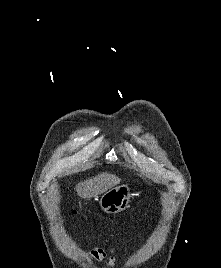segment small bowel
<instances>
[{
  "instance_id": "small-bowel-1",
  "label": "small bowel",
  "mask_w": 221,
  "mask_h": 268,
  "mask_svg": "<svg viewBox=\"0 0 221 268\" xmlns=\"http://www.w3.org/2000/svg\"><path fill=\"white\" fill-rule=\"evenodd\" d=\"M87 255L96 261H101L107 257L108 263L106 265V268H112L114 267L116 263V249L115 248H111L108 251H106L105 249L101 247H94L87 252Z\"/></svg>"
}]
</instances>
